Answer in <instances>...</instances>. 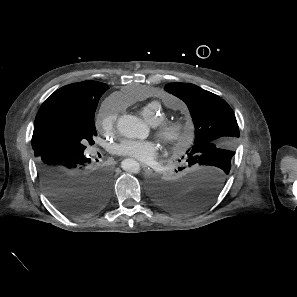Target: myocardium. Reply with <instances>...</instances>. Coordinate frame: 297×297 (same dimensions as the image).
<instances>
[{"mask_svg":"<svg viewBox=\"0 0 297 297\" xmlns=\"http://www.w3.org/2000/svg\"><path fill=\"white\" fill-rule=\"evenodd\" d=\"M155 135L168 147L182 150L188 144L190 132L181 120L162 118L153 124Z\"/></svg>","mask_w":297,"mask_h":297,"instance_id":"1","label":"myocardium"}]
</instances>
